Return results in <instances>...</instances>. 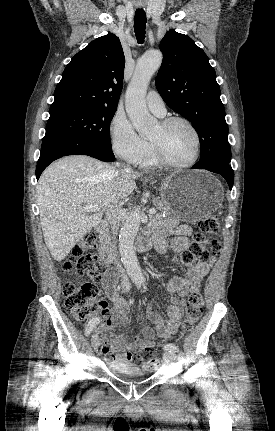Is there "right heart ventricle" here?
<instances>
[{"label": "right heart ventricle", "mask_w": 275, "mask_h": 431, "mask_svg": "<svg viewBox=\"0 0 275 431\" xmlns=\"http://www.w3.org/2000/svg\"><path fill=\"white\" fill-rule=\"evenodd\" d=\"M141 167L144 168H151L157 166V163L155 162L152 153H151V147L149 146L148 152L143 156V158L137 162Z\"/></svg>", "instance_id": "1"}]
</instances>
